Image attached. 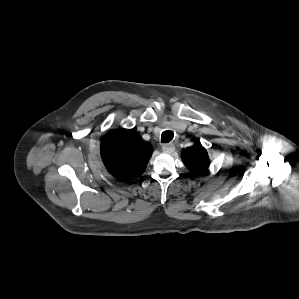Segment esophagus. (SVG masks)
Returning a JSON list of instances; mask_svg holds the SVG:
<instances>
[{"label":"esophagus","mask_w":299,"mask_h":299,"mask_svg":"<svg viewBox=\"0 0 299 299\" xmlns=\"http://www.w3.org/2000/svg\"><path fill=\"white\" fill-rule=\"evenodd\" d=\"M174 150H175V146H174L173 144H165V145H163V147H162V151H163L164 153L171 154V153L174 152Z\"/></svg>","instance_id":"1"}]
</instances>
